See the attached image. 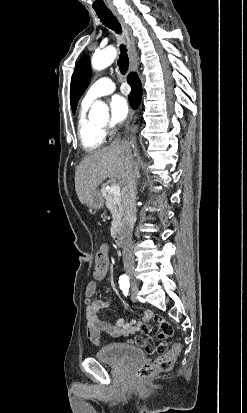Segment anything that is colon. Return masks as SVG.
Masks as SVG:
<instances>
[{
	"label": "colon",
	"instance_id": "5ec220e1",
	"mask_svg": "<svg viewBox=\"0 0 247 413\" xmlns=\"http://www.w3.org/2000/svg\"><path fill=\"white\" fill-rule=\"evenodd\" d=\"M109 273V262L105 261V250L99 248L96 250V254L92 255V277L100 278L101 274L106 275ZM172 337H169V341ZM159 342L166 340L164 333H159L156 337ZM182 349L180 342H173L169 353H162L161 357H157L154 363L144 364L135 373L136 381H151L152 374L155 372L170 371L178 354V351Z\"/></svg>",
	"mask_w": 247,
	"mask_h": 413
}]
</instances>
